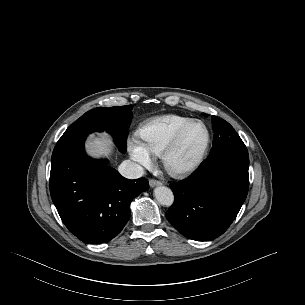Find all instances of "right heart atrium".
<instances>
[{
  "label": "right heart atrium",
  "instance_id": "right-heart-atrium-1",
  "mask_svg": "<svg viewBox=\"0 0 305 305\" xmlns=\"http://www.w3.org/2000/svg\"><path fill=\"white\" fill-rule=\"evenodd\" d=\"M129 152L131 158L138 164L146 167L152 164V154L135 138L129 143Z\"/></svg>",
  "mask_w": 305,
  "mask_h": 305
}]
</instances>
